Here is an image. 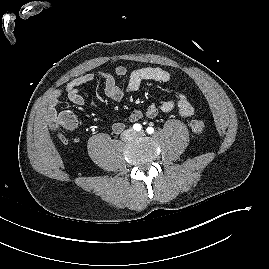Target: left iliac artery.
<instances>
[{"label":"left iliac artery","instance_id":"1","mask_svg":"<svg viewBox=\"0 0 269 269\" xmlns=\"http://www.w3.org/2000/svg\"><path fill=\"white\" fill-rule=\"evenodd\" d=\"M146 132H147L148 134H152V133L154 132L153 127H148V128L146 129Z\"/></svg>","mask_w":269,"mask_h":269}]
</instances>
